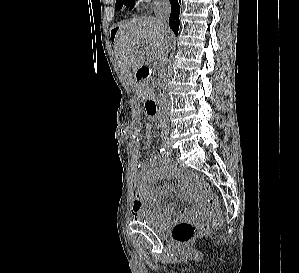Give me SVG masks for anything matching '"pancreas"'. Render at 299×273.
Segmentation results:
<instances>
[{"label":"pancreas","mask_w":299,"mask_h":273,"mask_svg":"<svg viewBox=\"0 0 299 273\" xmlns=\"http://www.w3.org/2000/svg\"><path fill=\"white\" fill-rule=\"evenodd\" d=\"M138 93L140 95H145L147 93V89L144 88L143 86H141V87L138 88Z\"/></svg>","instance_id":"1"}]
</instances>
